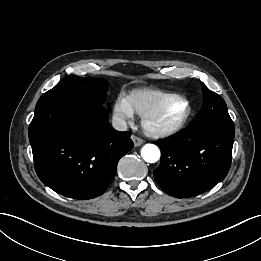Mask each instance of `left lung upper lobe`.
Here are the masks:
<instances>
[{"label": "left lung upper lobe", "instance_id": "1", "mask_svg": "<svg viewBox=\"0 0 261 261\" xmlns=\"http://www.w3.org/2000/svg\"><path fill=\"white\" fill-rule=\"evenodd\" d=\"M201 85L203 105L189 126L232 122L224 99L217 93L209 90L204 83H201Z\"/></svg>", "mask_w": 261, "mask_h": 261}]
</instances>
